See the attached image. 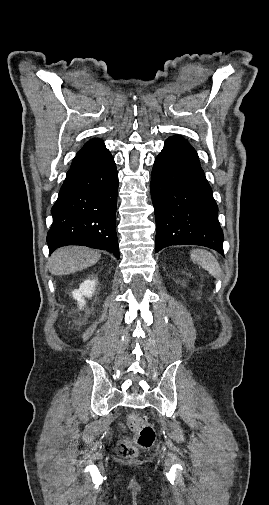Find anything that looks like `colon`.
Segmentation results:
<instances>
[{"instance_id": "1", "label": "colon", "mask_w": 269, "mask_h": 505, "mask_svg": "<svg viewBox=\"0 0 269 505\" xmlns=\"http://www.w3.org/2000/svg\"><path fill=\"white\" fill-rule=\"evenodd\" d=\"M129 424L135 435L132 440L122 441L119 445V454L124 458L135 457L139 448H150L155 441L153 426L144 421L138 414L130 416Z\"/></svg>"}]
</instances>
